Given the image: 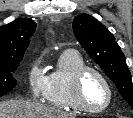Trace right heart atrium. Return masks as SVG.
Segmentation results:
<instances>
[{"instance_id":"1","label":"right heart atrium","mask_w":133,"mask_h":118,"mask_svg":"<svg viewBox=\"0 0 133 118\" xmlns=\"http://www.w3.org/2000/svg\"><path fill=\"white\" fill-rule=\"evenodd\" d=\"M29 90L34 99H43L47 91V75L39 61H34L28 70Z\"/></svg>"}]
</instances>
